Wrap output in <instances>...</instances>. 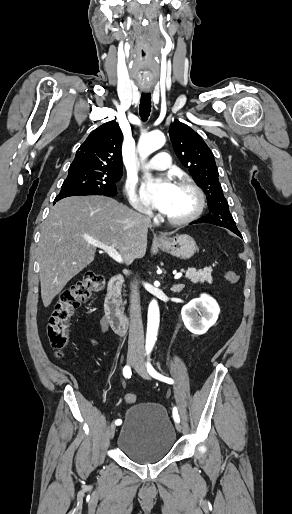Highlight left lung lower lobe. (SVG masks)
I'll list each match as a JSON object with an SVG mask.
<instances>
[{"label": "left lung lower lobe", "mask_w": 292, "mask_h": 514, "mask_svg": "<svg viewBox=\"0 0 292 514\" xmlns=\"http://www.w3.org/2000/svg\"><path fill=\"white\" fill-rule=\"evenodd\" d=\"M194 223H204V222L201 219H199V220H196V221L192 222L191 224H194ZM234 233L242 238V235H241V233L239 231L238 232H234Z\"/></svg>", "instance_id": "left-lung-lower-lobe-1"}]
</instances>
